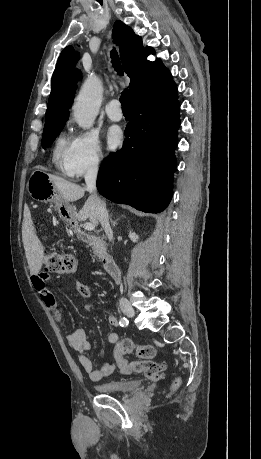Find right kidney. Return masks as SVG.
Returning a JSON list of instances; mask_svg holds the SVG:
<instances>
[{
    "mask_svg": "<svg viewBox=\"0 0 261 459\" xmlns=\"http://www.w3.org/2000/svg\"><path fill=\"white\" fill-rule=\"evenodd\" d=\"M129 238L133 241V242H137L139 237L138 235H136L134 232H129Z\"/></svg>",
    "mask_w": 261,
    "mask_h": 459,
    "instance_id": "1",
    "label": "right kidney"
}]
</instances>
